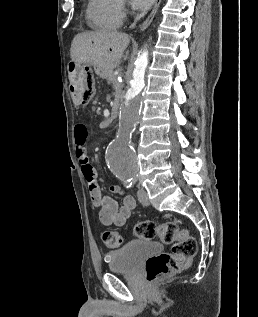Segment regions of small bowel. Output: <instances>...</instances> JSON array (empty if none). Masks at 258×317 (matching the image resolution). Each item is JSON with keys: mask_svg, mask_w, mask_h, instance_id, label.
<instances>
[{"mask_svg": "<svg viewBox=\"0 0 258 317\" xmlns=\"http://www.w3.org/2000/svg\"><path fill=\"white\" fill-rule=\"evenodd\" d=\"M87 137V127L84 124H77L74 131L76 157L80 162L83 177L88 184L91 203L94 207L99 208V220L103 225L123 226L135 208V199L130 195H125L122 204L119 205L115 199L102 193L97 182L96 171L88 159L86 150ZM110 189L113 193L123 194L121 186L117 184L112 185Z\"/></svg>", "mask_w": 258, "mask_h": 317, "instance_id": "1", "label": "small bowel"}]
</instances>
